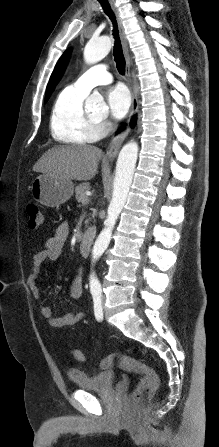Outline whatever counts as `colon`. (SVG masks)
Wrapping results in <instances>:
<instances>
[{
    "mask_svg": "<svg viewBox=\"0 0 219 447\" xmlns=\"http://www.w3.org/2000/svg\"><path fill=\"white\" fill-rule=\"evenodd\" d=\"M27 214L29 227L32 229L38 228L42 223V212L39 205L30 203L27 206ZM72 355L74 359L79 362H84L86 360L85 354L79 349H74ZM114 365L141 375V379L131 395L132 403L136 404L144 401L146 398L152 396L158 389L159 378L156 373L131 357L121 354H112L104 357L100 362V366L103 369L111 368Z\"/></svg>",
    "mask_w": 219,
    "mask_h": 447,
    "instance_id": "5ec220e1",
    "label": "colon"
}]
</instances>
